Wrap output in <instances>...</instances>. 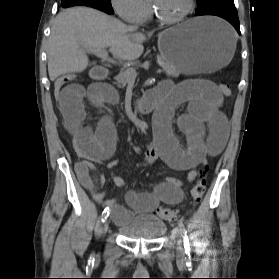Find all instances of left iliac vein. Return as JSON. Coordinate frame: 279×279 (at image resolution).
Wrapping results in <instances>:
<instances>
[{"instance_id": "1", "label": "left iliac vein", "mask_w": 279, "mask_h": 279, "mask_svg": "<svg viewBox=\"0 0 279 279\" xmlns=\"http://www.w3.org/2000/svg\"><path fill=\"white\" fill-rule=\"evenodd\" d=\"M174 235L178 239V248H177L178 255H179V257H182L183 256V249L181 246L182 231L179 227L174 228Z\"/></svg>"}]
</instances>
